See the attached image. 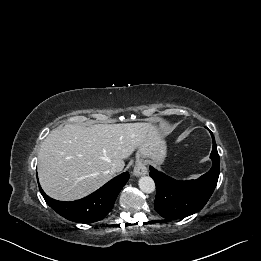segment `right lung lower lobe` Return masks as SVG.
<instances>
[{"instance_id":"98d812e1","label":"right lung lower lobe","mask_w":261,"mask_h":261,"mask_svg":"<svg viewBox=\"0 0 261 261\" xmlns=\"http://www.w3.org/2000/svg\"><path fill=\"white\" fill-rule=\"evenodd\" d=\"M128 179L129 173H122L89 196L71 202L54 200L41 188L40 192L46 203L59 215L70 221L91 223L103 219L112 210L119 192Z\"/></svg>"}]
</instances>
